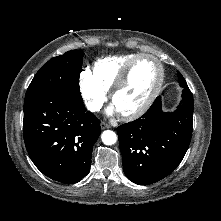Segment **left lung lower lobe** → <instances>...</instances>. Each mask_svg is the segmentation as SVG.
<instances>
[{
	"label": "left lung lower lobe",
	"mask_w": 221,
	"mask_h": 221,
	"mask_svg": "<svg viewBox=\"0 0 221 221\" xmlns=\"http://www.w3.org/2000/svg\"><path fill=\"white\" fill-rule=\"evenodd\" d=\"M174 112H163L161 97L139 119L117 128L125 175L149 185L166 176L182 161L190 144L193 97L187 84Z\"/></svg>",
	"instance_id": "left-lung-lower-lobe-1"
}]
</instances>
